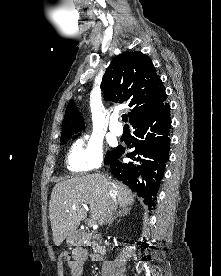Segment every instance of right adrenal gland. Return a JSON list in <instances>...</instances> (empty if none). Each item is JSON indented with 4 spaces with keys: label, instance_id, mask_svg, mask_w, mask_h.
I'll return each mask as SVG.
<instances>
[{
    "label": "right adrenal gland",
    "instance_id": "right-adrenal-gland-1",
    "mask_svg": "<svg viewBox=\"0 0 221 276\" xmlns=\"http://www.w3.org/2000/svg\"><path fill=\"white\" fill-rule=\"evenodd\" d=\"M131 208L129 207H122L121 210L117 213V215L113 218V220L109 223V227L116 221L119 217L125 216L130 213Z\"/></svg>",
    "mask_w": 221,
    "mask_h": 276
}]
</instances>
